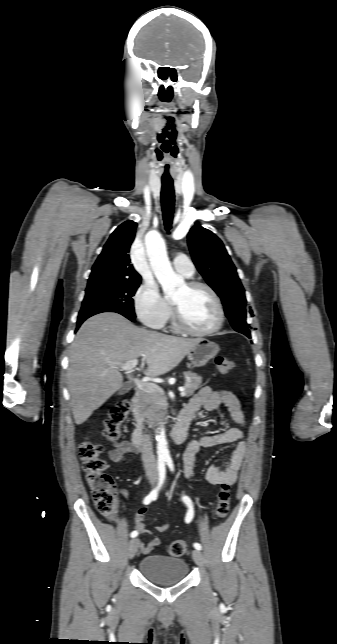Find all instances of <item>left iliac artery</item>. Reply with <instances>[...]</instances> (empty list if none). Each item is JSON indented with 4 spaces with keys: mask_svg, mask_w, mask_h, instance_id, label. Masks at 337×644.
<instances>
[{
    "mask_svg": "<svg viewBox=\"0 0 337 644\" xmlns=\"http://www.w3.org/2000/svg\"><path fill=\"white\" fill-rule=\"evenodd\" d=\"M166 462H167V465L169 466L170 470L173 471L174 470V465H173V462H172L171 458H167ZM182 500L188 506V512H187L186 517H185V522L190 523L192 521V519H193V516H194L192 500L190 499V497H188L186 495L182 496ZM193 546L197 550L202 549V546L199 543H194Z\"/></svg>",
    "mask_w": 337,
    "mask_h": 644,
    "instance_id": "44dca946",
    "label": "left iliac artery"
}]
</instances>
